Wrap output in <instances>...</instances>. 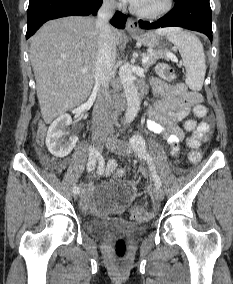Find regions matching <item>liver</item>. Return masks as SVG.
Segmentation results:
<instances>
[{
  "label": "liver",
  "instance_id": "obj_1",
  "mask_svg": "<svg viewBox=\"0 0 233 284\" xmlns=\"http://www.w3.org/2000/svg\"><path fill=\"white\" fill-rule=\"evenodd\" d=\"M116 45L124 33L113 28ZM99 32L96 20L70 16L45 23L33 36L30 60L46 124L83 103L95 79ZM86 69V73H82Z\"/></svg>",
  "mask_w": 233,
  "mask_h": 284
}]
</instances>
